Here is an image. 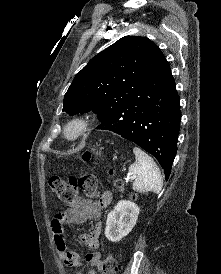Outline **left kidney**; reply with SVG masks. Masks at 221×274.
<instances>
[{
	"label": "left kidney",
	"mask_w": 221,
	"mask_h": 274,
	"mask_svg": "<svg viewBox=\"0 0 221 274\" xmlns=\"http://www.w3.org/2000/svg\"><path fill=\"white\" fill-rule=\"evenodd\" d=\"M139 207L126 200L117 203L107 215L105 236L112 242H118L127 236L137 223Z\"/></svg>",
	"instance_id": "obj_1"
}]
</instances>
